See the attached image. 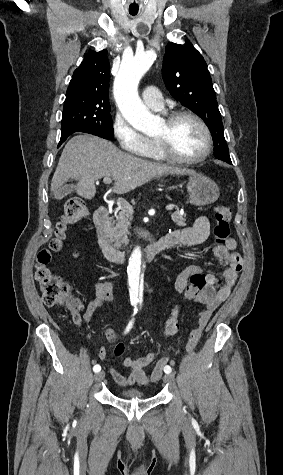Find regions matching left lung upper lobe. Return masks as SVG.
I'll return each instance as SVG.
<instances>
[{
	"label": "left lung upper lobe",
	"instance_id": "1",
	"mask_svg": "<svg viewBox=\"0 0 283 475\" xmlns=\"http://www.w3.org/2000/svg\"><path fill=\"white\" fill-rule=\"evenodd\" d=\"M162 76L171 95L201 117L212 135L223 134L222 118L206 62L191 43L166 46Z\"/></svg>",
	"mask_w": 283,
	"mask_h": 475
}]
</instances>
